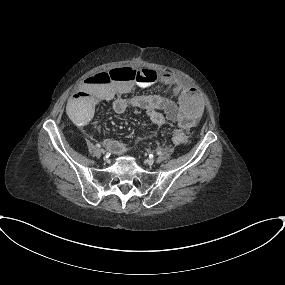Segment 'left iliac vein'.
<instances>
[{
  "label": "left iliac vein",
  "mask_w": 285,
  "mask_h": 285,
  "mask_svg": "<svg viewBox=\"0 0 285 285\" xmlns=\"http://www.w3.org/2000/svg\"><path fill=\"white\" fill-rule=\"evenodd\" d=\"M146 162H147V164H149V165H153V164H154V159L149 158V159L146 160Z\"/></svg>",
  "instance_id": "4c4485c4"
}]
</instances>
